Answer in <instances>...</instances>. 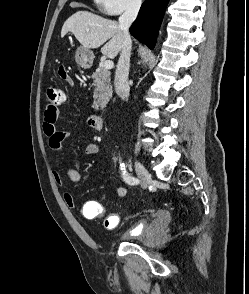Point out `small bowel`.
<instances>
[{"mask_svg":"<svg viewBox=\"0 0 249 294\" xmlns=\"http://www.w3.org/2000/svg\"><path fill=\"white\" fill-rule=\"evenodd\" d=\"M60 77L68 84L73 85V80L68 74H65L64 76L60 75ZM58 118V106H46L42 116V129L48 139L49 149L53 154H59L63 149V141L72 135L71 131H61L58 129ZM86 123L89 127L93 128L90 117L87 118ZM84 152L87 155L97 154L99 152V144L96 142H88L84 147ZM65 173L72 183L78 184L81 182L82 176L80 172V163L77 157H75V166L66 167ZM51 174L55 183L59 186H63L64 180L61 172L58 169L54 168L52 169ZM115 191L119 198H125L127 195V189L125 187L117 186L115 188ZM63 199L65 204L70 209H78L77 203L70 193L65 192L63 194ZM99 206H101V204L97 201H86L83 204L80 213L85 219H96L103 217V224L105 228L110 230L115 229L119 223V216L117 214H108L104 216L103 213L101 214L98 212ZM164 213V211L158 210L155 214L157 217H159L161 215H164Z\"/></svg>","mask_w":249,"mask_h":294,"instance_id":"small-bowel-1","label":"small bowel"}]
</instances>
